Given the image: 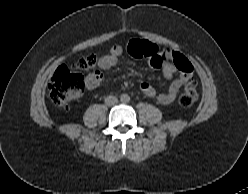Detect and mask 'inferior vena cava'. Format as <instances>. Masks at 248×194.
Instances as JSON below:
<instances>
[{"label": "inferior vena cava", "instance_id": "1", "mask_svg": "<svg viewBox=\"0 0 248 194\" xmlns=\"http://www.w3.org/2000/svg\"><path fill=\"white\" fill-rule=\"evenodd\" d=\"M118 103V99L115 96H108L105 98V104L107 106H113Z\"/></svg>", "mask_w": 248, "mask_h": 194}]
</instances>
